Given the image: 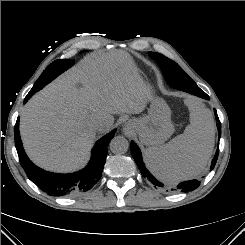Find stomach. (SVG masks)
I'll list each match as a JSON object with an SVG mask.
<instances>
[{
  "label": "stomach",
  "instance_id": "0dacf381",
  "mask_svg": "<svg viewBox=\"0 0 245 245\" xmlns=\"http://www.w3.org/2000/svg\"><path fill=\"white\" fill-rule=\"evenodd\" d=\"M127 129L137 133L144 145H160L174 132L171 110L164 100L152 98L148 115L129 121Z\"/></svg>",
  "mask_w": 245,
  "mask_h": 245
}]
</instances>
